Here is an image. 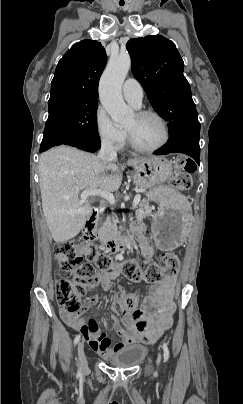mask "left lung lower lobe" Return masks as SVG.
<instances>
[{
    "mask_svg": "<svg viewBox=\"0 0 243 404\" xmlns=\"http://www.w3.org/2000/svg\"><path fill=\"white\" fill-rule=\"evenodd\" d=\"M200 130H180L175 132L163 147L154 152L156 155L184 153L200 164Z\"/></svg>",
    "mask_w": 243,
    "mask_h": 404,
    "instance_id": "0a47b994",
    "label": "left lung lower lobe"
}]
</instances>
